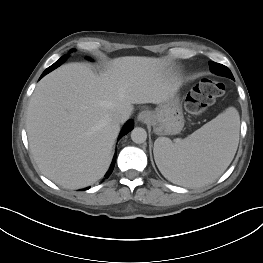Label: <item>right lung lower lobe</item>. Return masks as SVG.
<instances>
[{
	"label": "right lung lower lobe",
	"mask_w": 263,
	"mask_h": 263,
	"mask_svg": "<svg viewBox=\"0 0 263 263\" xmlns=\"http://www.w3.org/2000/svg\"><path fill=\"white\" fill-rule=\"evenodd\" d=\"M67 57H68V56H63V57H61L56 63H54L53 65H51L49 68H47V69L43 72V74L41 75L40 79H41L43 76H45L46 74H48L49 72H51L52 70H54L55 68L59 67L63 62L66 61ZM133 127H134L133 121H132V120L128 121V122L125 124L123 130L121 131L119 137H122V136H124L125 134H127L129 131H131V130L133 129ZM115 160H116V154H115V156H114V159H113V162H112V164H111V166H110L109 171H108V172L106 173V175H105V178H108V177L110 176V174L112 173V171H113V169H114V165H115ZM86 189H88V188H86ZM86 189H85V190H86Z\"/></svg>",
	"instance_id": "right-lung-lower-lobe-1"
}]
</instances>
